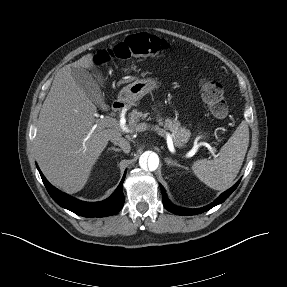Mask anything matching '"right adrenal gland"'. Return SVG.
Returning <instances> with one entry per match:
<instances>
[{
  "label": "right adrenal gland",
  "mask_w": 287,
  "mask_h": 287,
  "mask_svg": "<svg viewBox=\"0 0 287 287\" xmlns=\"http://www.w3.org/2000/svg\"><path fill=\"white\" fill-rule=\"evenodd\" d=\"M115 151V152H120L121 151V149H119V148H115V147H110V148H108V151Z\"/></svg>",
  "instance_id": "obj_1"
}]
</instances>
